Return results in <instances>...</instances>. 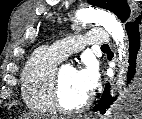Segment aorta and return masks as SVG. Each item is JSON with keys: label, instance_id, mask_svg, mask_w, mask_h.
<instances>
[{"label": "aorta", "instance_id": "762f6f07", "mask_svg": "<svg viewBox=\"0 0 142 119\" xmlns=\"http://www.w3.org/2000/svg\"><path fill=\"white\" fill-rule=\"evenodd\" d=\"M76 17L85 22L97 23L103 26L112 36L116 44L119 45L118 53L120 60H122V57L126 54L124 45L125 34L121 23L114 15L100 9L86 8L77 11ZM122 73L123 70L120 74Z\"/></svg>", "mask_w": 142, "mask_h": 119}]
</instances>
